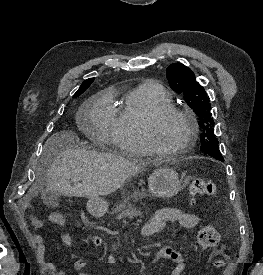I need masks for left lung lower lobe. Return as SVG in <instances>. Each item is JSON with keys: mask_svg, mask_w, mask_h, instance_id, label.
Wrapping results in <instances>:
<instances>
[{"mask_svg": "<svg viewBox=\"0 0 263 275\" xmlns=\"http://www.w3.org/2000/svg\"><path fill=\"white\" fill-rule=\"evenodd\" d=\"M216 159H218V160H220V161H224L223 157H221V158H216Z\"/></svg>", "mask_w": 263, "mask_h": 275, "instance_id": "left-lung-lower-lobe-1", "label": "left lung lower lobe"}]
</instances>
